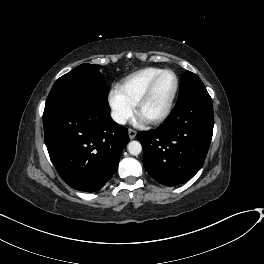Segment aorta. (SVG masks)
I'll return each instance as SVG.
<instances>
[{
  "label": "aorta",
  "mask_w": 264,
  "mask_h": 264,
  "mask_svg": "<svg viewBox=\"0 0 264 264\" xmlns=\"http://www.w3.org/2000/svg\"><path fill=\"white\" fill-rule=\"evenodd\" d=\"M127 149L131 155H139L142 151V146L138 141L129 142Z\"/></svg>",
  "instance_id": "762f6f07"
}]
</instances>
